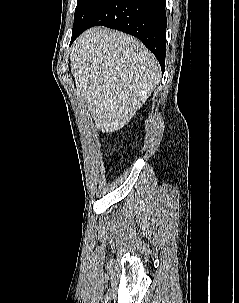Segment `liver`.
<instances>
[{
    "instance_id": "6515ba94",
    "label": "liver",
    "mask_w": 239,
    "mask_h": 303,
    "mask_svg": "<svg viewBox=\"0 0 239 303\" xmlns=\"http://www.w3.org/2000/svg\"><path fill=\"white\" fill-rule=\"evenodd\" d=\"M70 61L77 93L107 133L128 124L160 81L155 56L138 39L105 27L85 31Z\"/></svg>"
}]
</instances>
